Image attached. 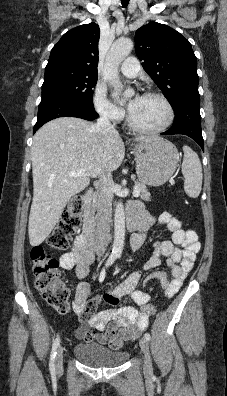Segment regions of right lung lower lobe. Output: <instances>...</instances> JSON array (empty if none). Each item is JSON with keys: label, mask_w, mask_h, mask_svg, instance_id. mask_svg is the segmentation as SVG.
<instances>
[{"label": "right lung lower lobe", "mask_w": 227, "mask_h": 396, "mask_svg": "<svg viewBox=\"0 0 227 396\" xmlns=\"http://www.w3.org/2000/svg\"><path fill=\"white\" fill-rule=\"evenodd\" d=\"M59 117H78L91 121L98 118V114L94 108L83 106L78 102L65 98L41 101L38 107V119L34 125L33 133L46 122Z\"/></svg>", "instance_id": "right-lung-lower-lobe-1"}]
</instances>
